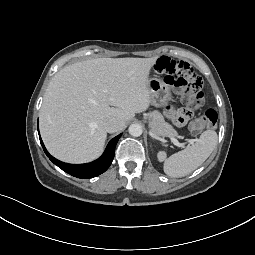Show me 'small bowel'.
I'll use <instances>...</instances> for the list:
<instances>
[{
    "label": "small bowel",
    "mask_w": 255,
    "mask_h": 255,
    "mask_svg": "<svg viewBox=\"0 0 255 255\" xmlns=\"http://www.w3.org/2000/svg\"><path fill=\"white\" fill-rule=\"evenodd\" d=\"M170 118L178 125H187L193 120L194 113L188 107H176L171 111Z\"/></svg>",
    "instance_id": "c3829d8e"
}]
</instances>
